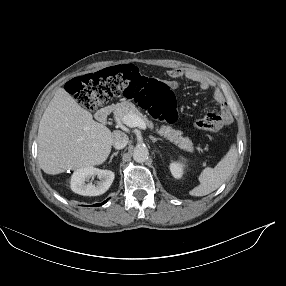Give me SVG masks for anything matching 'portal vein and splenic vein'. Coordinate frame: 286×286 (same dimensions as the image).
<instances>
[{
	"instance_id": "1",
	"label": "portal vein and splenic vein",
	"mask_w": 286,
	"mask_h": 286,
	"mask_svg": "<svg viewBox=\"0 0 286 286\" xmlns=\"http://www.w3.org/2000/svg\"><path fill=\"white\" fill-rule=\"evenodd\" d=\"M123 123L129 127H139L143 130L146 129L145 122L140 117L133 114L125 115L123 118Z\"/></svg>"
}]
</instances>
